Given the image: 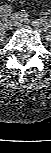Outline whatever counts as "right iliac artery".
I'll list each match as a JSON object with an SVG mask.
<instances>
[{
  "instance_id": "right-iliac-artery-1",
  "label": "right iliac artery",
  "mask_w": 51,
  "mask_h": 153,
  "mask_svg": "<svg viewBox=\"0 0 51 153\" xmlns=\"http://www.w3.org/2000/svg\"><path fill=\"white\" fill-rule=\"evenodd\" d=\"M12 7L10 5H3L0 8L1 18L3 21H5L8 17V15L11 12Z\"/></svg>"
}]
</instances>
